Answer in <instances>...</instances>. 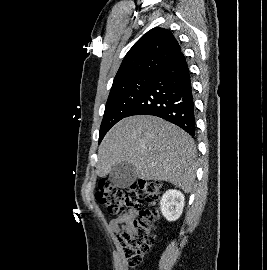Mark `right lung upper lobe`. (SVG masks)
Segmentation results:
<instances>
[{"label": "right lung upper lobe", "mask_w": 267, "mask_h": 270, "mask_svg": "<svg viewBox=\"0 0 267 270\" xmlns=\"http://www.w3.org/2000/svg\"><path fill=\"white\" fill-rule=\"evenodd\" d=\"M179 52V43L168 29H151L128 51L112 87L141 75H155Z\"/></svg>", "instance_id": "right-lung-upper-lobe-1"}]
</instances>
